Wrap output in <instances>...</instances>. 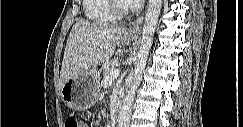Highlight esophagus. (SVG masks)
Masks as SVG:
<instances>
[{
  "label": "esophagus",
  "instance_id": "1",
  "mask_svg": "<svg viewBox=\"0 0 243 127\" xmlns=\"http://www.w3.org/2000/svg\"><path fill=\"white\" fill-rule=\"evenodd\" d=\"M144 19V14H142L140 17H138L133 23L132 25L129 27L127 33L129 35H136L139 34L140 32V26L143 22Z\"/></svg>",
  "mask_w": 243,
  "mask_h": 127
}]
</instances>
